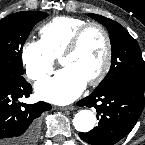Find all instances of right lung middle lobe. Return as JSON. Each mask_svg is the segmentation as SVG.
Returning a JSON list of instances; mask_svg holds the SVG:
<instances>
[{"instance_id":"1","label":"right lung middle lobe","mask_w":145,"mask_h":145,"mask_svg":"<svg viewBox=\"0 0 145 145\" xmlns=\"http://www.w3.org/2000/svg\"><path fill=\"white\" fill-rule=\"evenodd\" d=\"M47 13L25 11L0 20V75H23L21 52L33 26Z\"/></svg>"}]
</instances>
